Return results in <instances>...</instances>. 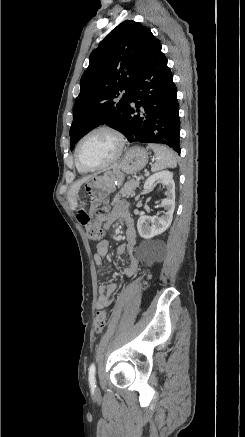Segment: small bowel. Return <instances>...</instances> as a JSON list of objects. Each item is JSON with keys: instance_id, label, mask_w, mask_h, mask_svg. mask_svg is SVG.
Returning a JSON list of instances; mask_svg holds the SVG:
<instances>
[{"instance_id": "c3829d8e", "label": "small bowel", "mask_w": 245, "mask_h": 437, "mask_svg": "<svg viewBox=\"0 0 245 437\" xmlns=\"http://www.w3.org/2000/svg\"><path fill=\"white\" fill-rule=\"evenodd\" d=\"M77 222L79 224H88L90 221V215L87 208H78L76 211ZM123 219L126 222V243L121 244L117 248L119 255L128 254L130 259L128 265L124 268V275L131 277L135 275L138 270L139 260L135 256L136 245V230L133 220L128 213V205L125 202L120 203L115 207L109 221L106 223V227L115 220ZM108 241L102 240L97 244L96 253L94 255V263L97 267L102 265V257L106 255L108 251ZM116 289V284L110 283L99 288V295L96 303L97 309H101L108 306L111 302L112 295Z\"/></svg>"}]
</instances>
